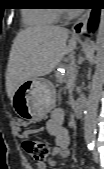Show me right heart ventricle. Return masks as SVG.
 Instances as JSON below:
<instances>
[{
  "label": "right heart ventricle",
  "instance_id": "obj_1",
  "mask_svg": "<svg viewBox=\"0 0 104 169\" xmlns=\"http://www.w3.org/2000/svg\"><path fill=\"white\" fill-rule=\"evenodd\" d=\"M23 17L32 25H51L60 20L61 12L56 8L29 9L23 13Z\"/></svg>",
  "mask_w": 104,
  "mask_h": 169
}]
</instances>
